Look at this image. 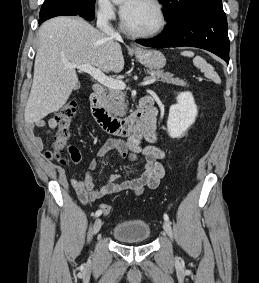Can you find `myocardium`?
I'll return each mask as SVG.
<instances>
[{"label": "myocardium", "mask_w": 259, "mask_h": 283, "mask_svg": "<svg viewBox=\"0 0 259 283\" xmlns=\"http://www.w3.org/2000/svg\"><path fill=\"white\" fill-rule=\"evenodd\" d=\"M149 3H151L158 11L159 16H160V24L159 26L152 30V31H148V32H139V31H135L132 30L126 23L124 16H121V29L128 35L135 37V38H151V37H155L159 34H161L168 23V19H167V15L164 9V6L162 5V3L159 0H147Z\"/></svg>", "instance_id": "obj_1"}]
</instances>
